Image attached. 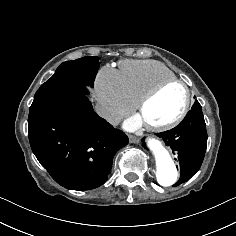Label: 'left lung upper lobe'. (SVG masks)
Segmentation results:
<instances>
[{"label": "left lung upper lobe", "mask_w": 236, "mask_h": 236, "mask_svg": "<svg viewBox=\"0 0 236 236\" xmlns=\"http://www.w3.org/2000/svg\"><path fill=\"white\" fill-rule=\"evenodd\" d=\"M197 100L195 101V103H194V105L192 106V109H194L195 108V106L197 105Z\"/></svg>", "instance_id": "obj_1"}]
</instances>
